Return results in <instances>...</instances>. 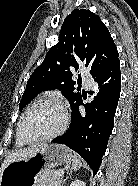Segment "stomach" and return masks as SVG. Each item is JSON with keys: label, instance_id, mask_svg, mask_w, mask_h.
I'll return each instance as SVG.
<instances>
[{"label": "stomach", "instance_id": "stomach-1", "mask_svg": "<svg viewBox=\"0 0 138 186\" xmlns=\"http://www.w3.org/2000/svg\"><path fill=\"white\" fill-rule=\"evenodd\" d=\"M71 160L72 153L66 146L46 145L32 157L8 164L1 173L0 186H36L42 172L67 165Z\"/></svg>", "mask_w": 138, "mask_h": 186}]
</instances>
